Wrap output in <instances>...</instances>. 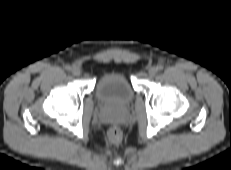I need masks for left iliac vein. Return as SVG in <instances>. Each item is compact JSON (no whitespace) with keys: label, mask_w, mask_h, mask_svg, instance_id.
<instances>
[{"label":"left iliac vein","mask_w":231,"mask_h":170,"mask_svg":"<svg viewBox=\"0 0 231 170\" xmlns=\"http://www.w3.org/2000/svg\"><path fill=\"white\" fill-rule=\"evenodd\" d=\"M156 73H157V68H156V67H151V68L149 69V75H150V76H155Z\"/></svg>","instance_id":"left-iliac-vein-1"}]
</instances>
